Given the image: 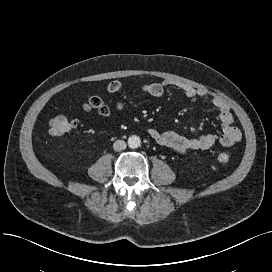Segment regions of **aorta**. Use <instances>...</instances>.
Wrapping results in <instances>:
<instances>
[{"label":"aorta","mask_w":272,"mask_h":272,"mask_svg":"<svg viewBox=\"0 0 272 272\" xmlns=\"http://www.w3.org/2000/svg\"><path fill=\"white\" fill-rule=\"evenodd\" d=\"M141 145L140 137L132 135L128 138V146L132 149L138 148Z\"/></svg>","instance_id":"1"}]
</instances>
